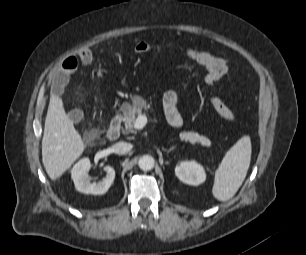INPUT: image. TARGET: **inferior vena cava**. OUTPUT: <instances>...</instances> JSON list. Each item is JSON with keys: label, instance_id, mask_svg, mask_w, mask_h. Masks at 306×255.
<instances>
[{"label": "inferior vena cava", "instance_id": "1", "mask_svg": "<svg viewBox=\"0 0 306 255\" xmlns=\"http://www.w3.org/2000/svg\"><path fill=\"white\" fill-rule=\"evenodd\" d=\"M132 144L126 142H118L113 145V150L116 154L123 155L132 149Z\"/></svg>", "mask_w": 306, "mask_h": 255}]
</instances>
